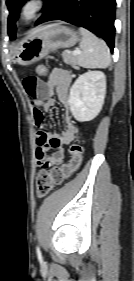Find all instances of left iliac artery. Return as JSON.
I'll return each mask as SVG.
<instances>
[{
    "instance_id": "obj_1",
    "label": "left iliac artery",
    "mask_w": 134,
    "mask_h": 281,
    "mask_svg": "<svg viewBox=\"0 0 134 281\" xmlns=\"http://www.w3.org/2000/svg\"><path fill=\"white\" fill-rule=\"evenodd\" d=\"M37 254L39 255V257L41 256L39 248H37Z\"/></svg>"
}]
</instances>
